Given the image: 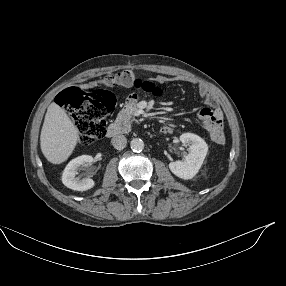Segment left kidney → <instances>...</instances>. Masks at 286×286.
I'll list each match as a JSON object with an SVG mask.
<instances>
[{
	"label": "left kidney",
	"instance_id": "left-kidney-1",
	"mask_svg": "<svg viewBox=\"0 0 286 286\" xmlns=\"http://www.w3.org/2000/svg\"><path fill=\"white\" fill-rule=\"evenodd\" d=\"M179 139L183 144L189 146V153L183 161L170 162L169 169L181 179H192L203 164L208 145L201 137L192 133H184L180 135Z\"/></svg>",
	"mask_w": 286,
	"mask_h": 286
}]
</instances>
